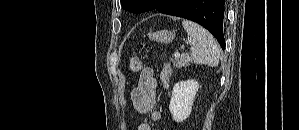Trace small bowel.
I'll list each match as a JSON object with an SVG mask.
<instances>
[{
    "instance_id": "small-bowel-1",
    "label": "small bowel",
    "mask_w": 299,
    "mask_h": 130,
    "mask_svg": "<svg viewBox=\"0 0 299 130\" xmlns=\"http://www.w3.org/2000/svg\"><path fill=\"white\" fill-rule=\"evenodd\" d=\"M158 82L153 74L151 67H145L141 73L137 85L131 92L133 106L139 113H149L153 123H159L162 115L155 111L156 91ZM136 130H151L148 122L142 121L137 124Z\"/></svg>"
}]
</instances>
